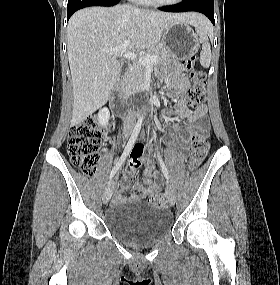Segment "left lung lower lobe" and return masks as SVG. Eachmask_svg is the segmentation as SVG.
Wrapping results in <instances>:
<instances>
[{"instance_id":"obj_1","label":"left lung lower lobe","mask_w":280,"mask_h":285,"mask_svg":"<svg viewBox=\"0 0 280 285\" xmlns=\"http://www.w3.org/2000/svg\"><path fill=\"white\" fill-rule=\"evenodd\" d=\"M167 12L196 11L205 14L215 24L213 0H183L181 3L160 8Z\"/></svg>"}]
</instances>
